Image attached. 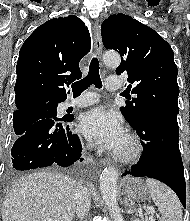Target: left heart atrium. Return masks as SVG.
Listing matches in <instances>:
<instances>
[{"mask_svg": "<svg viewBox=\"0 0 190 221\" xmlns=\"http://www.w3.org/2000/svg\"><path fill=\"white\" fill-rule=\"evenodd\" d=\"M80 130L88 138L109 150H113L125 135L120 115L103 106L82 115Z\"/></svg>", "mask_w": 190, "mask_h": 221, "instance_id": "obj_1", "label": "left heart atrium"}]
</instances>
